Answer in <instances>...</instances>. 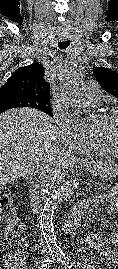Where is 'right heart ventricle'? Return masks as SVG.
Segmentation results:
<instances>
[{
    "instance_id": "obj_1",
    "label": "right heart ventricle",
    "mask_w": 118,
    "mask_h": 269,
    "mask_svg": "<svg viewBox=\"0 0 118 269\" xmlns=\"http://www.w3.org/2000/svg\"><path fill=\"white\" fill-rule=\"evenodd\" d=\"M85 152H90V153H112L116 154V152L111 149L108 145L103 143L100 140H95L88 146L84 148Z\"/></svg>"
}]
</instances>
